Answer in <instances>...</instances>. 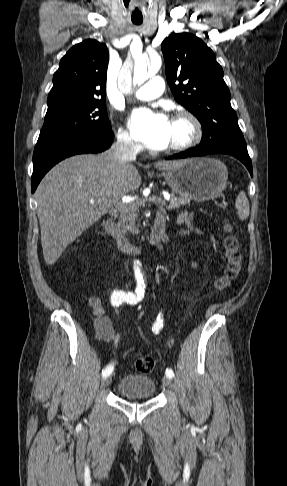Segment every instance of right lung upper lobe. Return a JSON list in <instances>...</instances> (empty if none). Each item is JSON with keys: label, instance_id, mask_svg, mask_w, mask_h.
<instances>
[{"label": "right lung upper lobe", "instance_id": "1", "mask_svg": "<svg viewBox=\"0 0 287 486\" xmlns=\"http://www.w3.org/2000/svg\"><path fill=\"white\" fill-rule=\"evenodd\" d=\"M108 49L94 39L74 45L53 76L48 107L75 101L105 99Z\"/></svg>", "mask_w": 287, "mask_h": 486}]
</instances>
